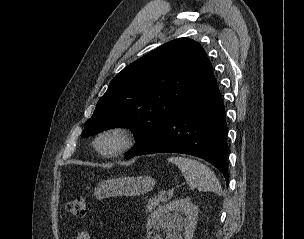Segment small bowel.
<instances>
[{"instance_id": "c3829d8e", "label": "small bowel", "mask_w": 304, "mask_h": 239, "mask_svg": "<svg viewBox=\"0 0 304 239\" xmlns=\"http://www.w3.org/2000/svg\"><path fill=\"white\" fill-rule=\"evenodd\" d=\"M74 239H91V238L88 232L81 231L74 237Z\"/></svg>"}]
</instances>
